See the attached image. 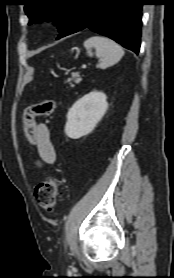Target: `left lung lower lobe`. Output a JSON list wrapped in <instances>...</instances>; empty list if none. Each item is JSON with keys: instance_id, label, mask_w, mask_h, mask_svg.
<instances>
[{"instance_id": "obj_1", "label": "left lung lower lobe", "mask_w": 174, "mask_h": 278, "mask_svg": "<svg viewBox=\"0 0 174 278\" xmlns=\"http://www.w3.org/2000/svg\"><path fill=\"white\" fill-rule=\"evenodd\" d=\"M142 6L143 0H80L77 11L57 39L89 28L137 54Z\"/></svg>"}]
</instances>
